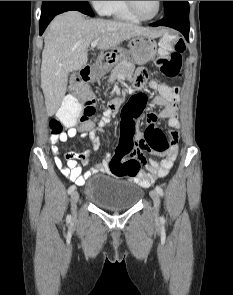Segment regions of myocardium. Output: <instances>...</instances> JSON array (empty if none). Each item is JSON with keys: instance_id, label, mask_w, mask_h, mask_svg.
<instances>
[{"instance_id": "1", "label": "myocardium", "mask_w": 233, "mask_h": 295, "mask_svg": "<svg viewBox=\"0 0 233 295\" xmlns=\"http://www.w3.org/2000/svg\"><path fill=\"white\" fill-rule=\"evenodd\" d=\"M126 2V5H127V7H128V9H129V11L138 19V20H141V21H150V20H153V19H155L158 15H159V13H160V11H161V4H162V2L161 1H157V10H156V12L152 15V16H150V17H143V16H141L139 13H138V11H137V9H136V7H135V2L134 1H125Z\"/></svg>"}]
</instances>
